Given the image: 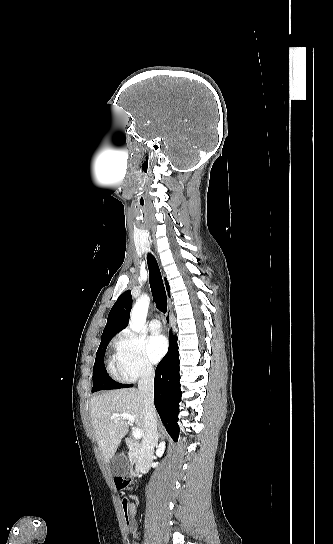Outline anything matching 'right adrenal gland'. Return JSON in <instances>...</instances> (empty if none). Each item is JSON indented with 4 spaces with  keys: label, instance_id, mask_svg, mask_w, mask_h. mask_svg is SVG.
I'll list each match as a JSON object with an SVG mask.
<instances>
[{
    "label": "right adrenal gland",
    "instance_id": "2a0ac1e0",
    "mask_svg": "<svg viewBox=\"0 0 333 544\" xmlns=\"http://www.w3.org/2000/svg\"><path fill=\"white\" fill-rule=\"evenodd\" d=\"M158 438H159V436L157 434L156 447H158Z\"/></svg>",
    "mask_w": 333,
    "mask_h": 544
}]
</instances>
